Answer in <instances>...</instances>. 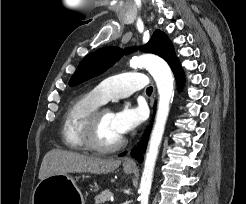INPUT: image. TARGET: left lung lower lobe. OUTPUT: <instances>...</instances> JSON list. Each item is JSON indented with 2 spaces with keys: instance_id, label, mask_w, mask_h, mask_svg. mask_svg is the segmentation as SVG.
Here are the masks:
<instances>
[{
  "instance_id": "obj_1",
  "label": "left lung lower lobe",
  "mask_w": 246,
  "mask_h": 204,
  "mask_svg": "<svg viewBox=\"0 0 246 204\" xmlns=\"http://www.w3.org/2000/svg\"><path fill=\"white\" fill-rule=\"evenodd\" d=\"M171 68H172L174 75L177 79L178 87L180 88L182 86V83H183V73H182L181 66H180L178 59L173 63ZM147 138H148V131L145 133V135L143 137V142L138 147H135L132 150V153H131L132 157L137 159L139 162H142V160H143L142 153L145 152V144L147 142ZM124 154L125 153H123L122 155H124Z\"/></svg>"
}]
</instances>
